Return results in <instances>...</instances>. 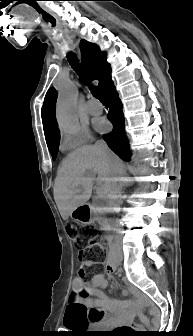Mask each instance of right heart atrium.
I'll return each instance as SVG.
<instances>
[{"instance_id": "obj_1", "label": "right heart atrium", "mask_w": 193, "mask_h": 336, "mask_svg": "<svg viewBox=\"0 0 193 336\" xmlns=\"http://www.w3.org/2000/svg\"><path fill=\"white\" fill-rule=\"evenodd\" d=\"M92 140L86 126H81L73 132H64L61 136V146L65 150L78 149Z\"/></svg>"}]
</instances>
